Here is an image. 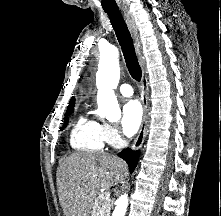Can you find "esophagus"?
I'll use <instances>...</instances> for the list:
<instances>
[{"instance_id": "obj_1", "label": "esophagus", "mask_w": 221, "mask_h": 216, "mask_svg": "<svg viewBox=\"0 0 221 216\" xmlns=\"http://www.w3.org/2000/svg\"><path fill=\"white\" fill-rule=\"evenodd\" d=\"M121 13L130 29V32L133 36L135 41V49L139 56H141V45L139 41V33L138 28L135 24L134 18L130 11L127 9L121 10ZM141 101L143 106V119L142 123L138 132L136 139L132 145V150L136 151L139 150L144 142L145 134H146V125H147V112H148V80L147 74L143 71L142 75V90H141Z\"/></svg>"}]
</instances>
